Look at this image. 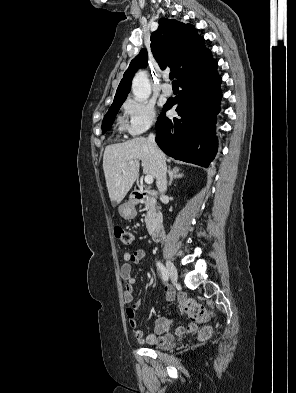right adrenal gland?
Here are the masks:
<instances>
[{
    "label": "right adrenal gland",
    "instance_id": "right-adrenal-gland-1",
    "mask_svg": "<svg viewBox=\"0 0 296 393\" xmlns=\"http://www.w3.org/2000/svg\"><path fill=\"white\" fill-rule=\"evenodd\" d=\"M168 174H169V186L172 185L173 180L177 178H182L184 177V173H180V168L178 166H175L171 168L170 166L168 167Z\"/></svg>",
    "mask_w": 296,
    "mask_h": 393
}]
</instances>
